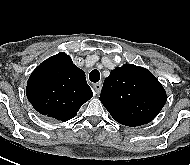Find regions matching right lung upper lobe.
Segmentation results:
<instances>
[{"mask_svg":"<svg viewBox=\"0 0 190 165\" xmlns=\"http://www.w3.org/2000/svg\"><path fill=\"white\" fill-rule=\"evenodd\" d=\"M26 95L36 111L63 122L77 115L92 96L85 73L61 52L42 62L30 75Z\"/></svg>","mask_w":190,"mask_h":165,"instance_id":"cb5924a9","label":"right lung upper lobe"}]
</instances>
